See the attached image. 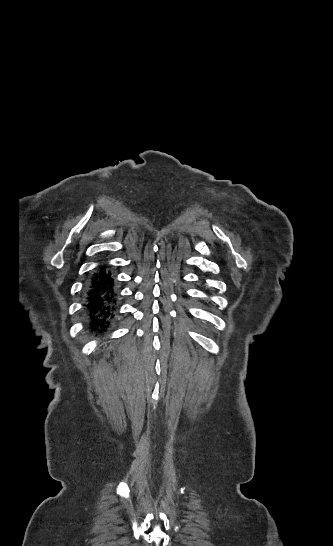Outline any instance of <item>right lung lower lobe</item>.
<instances>
[{"instance_id":"right-lung-lower-lobe-1","label":"right lung lower lobe","mask_w":333,"mask_h":546,"mask_svg":"<svg viewBox=\"0 0 333 546\" xmlns=\"http://www.w3.org/2000/svg\"><path fill=\"white\" fill-rule=\"evenodd\" d=\"M118 295L108 266L101 265L93 273L85 290L84 314L86 327L103 336L117 315Z\"/></svg>"}]
</instances>
